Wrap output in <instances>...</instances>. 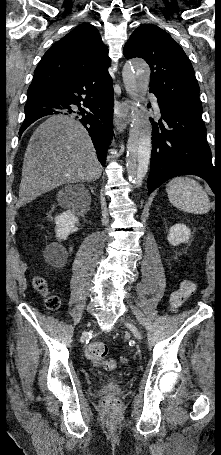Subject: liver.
<instances>
[{
  "mask_svg": "<svg viewBox=\"0 0 221 455\" xmlns=\"http://www.w3.org/2000/svg\"><path fill=\"white\" fill-rule=\"evenodd\" d=\"M101 173L86 129L72 117L51 116L30 138L16 207L63 184L95 181Z\"/></svg>",
  "mask_w": 221,
  "mask_h": 455,
  "instance_id": "1",
  "label": "liver"
}]
</instances>
